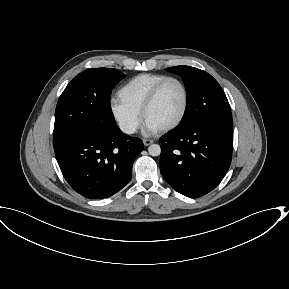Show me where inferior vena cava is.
Returning <instances> with one entry per match:
<instances>
[{
    "mask_svg": "<svg viewBox=\"0 0 289 289\" xmlns=\"http://www.w3.org/2000/svg\"><path fill=\"white\" fill-rule=\"evenodd\" d=\"M136 125L129 124V123H123L120 124V129L126 133V134H133L136 131Z\"/></svg>",
    "mask_w": 289,
    "mask_h": 289,
    "instance_id": "602c4592",
    "label": "inferior vena cava"
}]
</instances>
